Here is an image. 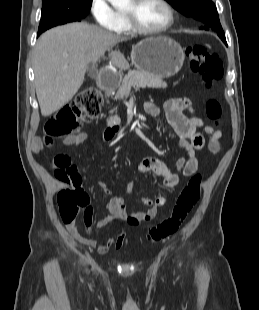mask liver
Listing matches in <instances>:
<instances>
[{"label":"liver","mask_w":259,"mask_h":310,"mask_svg":"<svg viewBox=\"0 0 259 310\" xmlns=\"http://www.w3.org/2000/svg\"><path fill=\"white\" fill-rule=\"evenodd\" d=\"M123 40L84 22L59 26L41 35L33 51V67L42 116L66 105L83 84L88 65ZM109 56L114 66L129 68L120 51H111Z\"/></svg>","instance_id":"6515ba94"}]
</instances>
